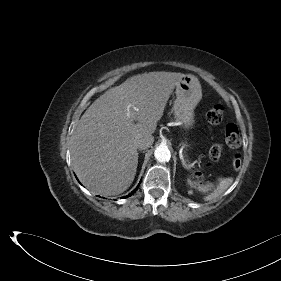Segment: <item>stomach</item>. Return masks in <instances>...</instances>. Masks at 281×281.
<instances>
[{
  "mask_svg": "<svg viewBox=\"0 0 281 281\" xmlns=\"http://www.w3.org/2000/svg\"><path fill=\"white\" fill-rule=\"evenodd\" d=\"M173 112L177 121L186 128L194 123V109L202 98L201 85L197 77L184 75L176 86Z\"/></svg>",
  "mask_w": 281,
  "mask_h": 281,
  "instance_id": "stomach-1",
  "label": "stomach"
}]
</instances>
